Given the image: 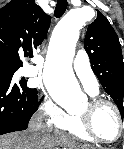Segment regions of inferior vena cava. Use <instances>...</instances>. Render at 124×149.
Wrapping results in <instances>:
<instances>
[{
    "instance_id": "inferior-vena-cava-1",
    "label": "inferior vena cava",
    "mask_w": 124,
    "mask_h": 149,
    "mask_svg": "<svg viewBox=\"0 0 124 149\" xmlns=\"http://www.w3.org/2000/svg\"><path fill=\"white\" fill-rule=\"evenodd\" d=\"M46 130L45 125L43 124V115L42 113H36L29 122L28 132L31 137H40L42 133Z\"/></svg>"
}]
</instances>
